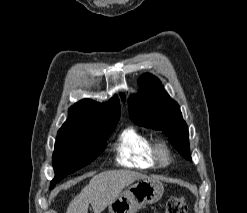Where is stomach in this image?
Here are the masks:
<instances>
[{
	"label": "stomach",
	"instance_id": "0dacf381",
	"mask_svg": "<svg viewBox=\"0 0 247 213\" xmlns=\"http://www.w3.org/2000/svg\"><path fill=\"white\" fill-rule=\"evenodd\" d=\"M163 192V184L156 178L138 180L109 205V213H136L144 206L158 202Z\"/></svg>",
	"mask_w": 247,
	"mask_h": 213
}]
</instances>
